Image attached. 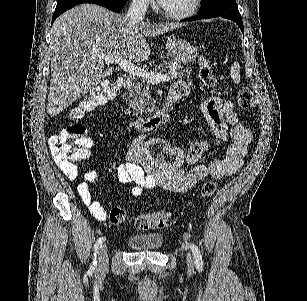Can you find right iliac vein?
Instances as JSON below:
<instances>
[{
	"label": "right iliac vein",
	"mask_w": 307,
	"mask_h": 301,
	"mask_svg": "<svg viewBox=\"0 0 307 301\" xmlns=\"http://www.w3.org/2000/svg\"><path fill=\"white\" fill-rule=\"evenodd\" d=\"M108 266L107 244H103L99 250L98 269L103 271Z\"/></svg>",
	"instance_id": "63e3f726"
}]
</instances>
